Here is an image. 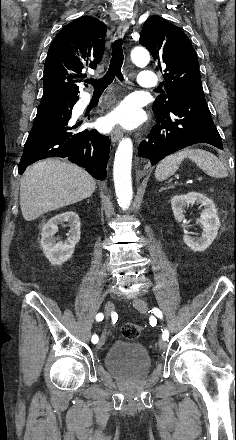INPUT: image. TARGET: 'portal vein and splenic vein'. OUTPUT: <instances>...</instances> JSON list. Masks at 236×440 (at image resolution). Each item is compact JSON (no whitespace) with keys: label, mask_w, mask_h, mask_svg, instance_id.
Returning <instances> with one entry per match:
<instances>
[{"label":"portal vein and splenic vein","mask_w":236,"mask_h":440,"mask_svg":"<svg viewBox=\"0 0 236 440\" xmlns=\"http://www.w3.org/2000/svg\"><path fill=\"white\" fill-rule=\"evenodd\" d=\"M198 180H202V177H199Z\"/></svg>","instance_id":"obj_1"}]
</instances>
